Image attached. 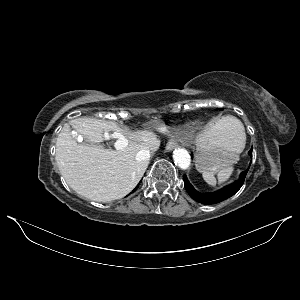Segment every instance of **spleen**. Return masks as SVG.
Wrapping results in <instances>:
<instances>
[{
	"label": "spleen",
	"instance_id": "1",
	"mask_svg": "<svg viewBox=\"0 0 300 300\" xmlns=\"http://www.w3.org/2000/svg\"><path fill=\"white\" fill-rule=\"evenodd\" d=\"M218 122L222 127H225L231 133L236 135L239 138L240 142L243 144V147L245 146L246 135L244 132V127L237 118H235L233 116H225V117H222V119H220ZM233 171H234V168L232 166L224 168L218 172L217 179H216L214 173H212V172L204 171L202 175H203L204 180L209 185L215 186L217 184V182L218 183L226 182L232 175Z\"/></svg>",
	"mask_w": 300,
	"mask_h": 300
}]
</instances>
